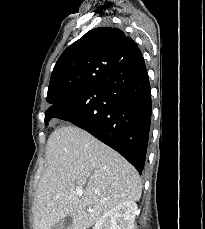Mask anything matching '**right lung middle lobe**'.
<instances>
[{
	"label": "right lung middle lobe",
	"mask_w": 205,
	"mask_h": 229,
	"mask_svg": "<svg viewBox=\"0 0 205 229\" xmlns=\"http://www.w3.org/2000/svg\"><path fill=\"white\" fill-rule=\"evenodd\" d=\"M107 78V76H105V75H103V76H98V77H96L95 79H94V81H95V83L96 82H98V81H100V80H103V79H106Z\"/></svg>",
	"instance_id": "right-lung-middle-lobe-1"
}]
</instances>
